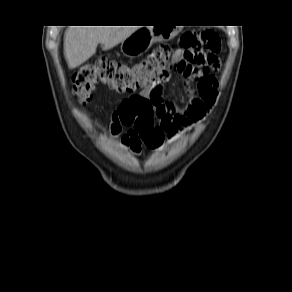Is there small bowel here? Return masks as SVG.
I'll list each match as a JSON object with an SVG mask.
<instances>
[{
	"instance_id": "small-bowel-1",
	"label": "small bowel",
	"mask_w": 292,
	"mask_h": 292,
	"mask_svg": "<svg viewBox=\"0 0 292 292\" xmlns=\"http://www.w3.org/2000/svg\"><path fill=\"white\" fill-rule=\"evenodd\" d=\"M219 50L220 44L208 58L197 63L189 73L184 74L188 99L182 106L166 101L161 96L155 117V127L162 135L161 144L165 140L175 139L178 134L202 120L215 102L217 80L213 73L219 68ZM122 143L133 154L138 155L144 141L141 132L131 125L123 134Z\"/></svg>"
}]
</instances>
